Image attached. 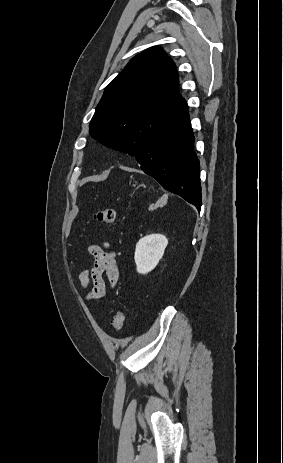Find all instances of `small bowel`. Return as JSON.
<instances>
[{"label":"small bowel","mask_w":283,"mask_h":463,"mask_svg":"<svg viewBox=\"0 0 283 463\" xmlns=\"http://www.w3.org/2000/svg\"><path fill=\"white\" fill-rule=\"evenodd\" d=\"M89 254L94 262L91 269H85L79 276L80 285L88 289V298L97 300L105 296L107 288L113 289L119 280V270L116 263V255L109 250V244L88 247Z\"/></svg>","instance_id":"c3829d8e"}]
</instances>
